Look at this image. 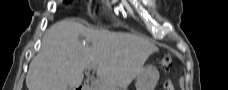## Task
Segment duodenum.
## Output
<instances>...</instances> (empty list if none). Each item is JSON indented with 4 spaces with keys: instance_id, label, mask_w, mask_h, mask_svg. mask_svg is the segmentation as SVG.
Wrapping results in <instances>:
<instances>
[{
    "instance_id": "duodenum-1",
    "label": "duodenum",
    "mask_w": 228,
    "mask_h": 90,
    "mask_svg": "<svg viewBox=\"0 0 228 90\" xmlns=\"http://www.w3.org/2000/svg\"><path fill=\"white\" fill-rule=\"evenodd\" d=\"M77 90H87L84 86L77 88Z\"/></svg>"
}]
</instances>
